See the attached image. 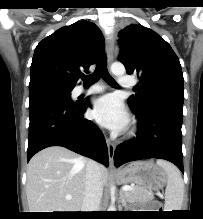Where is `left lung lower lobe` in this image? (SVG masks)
Listing matches in <instances>:
<instances>
[{
	"instance_id": "left-lung-lower-lobe-1",
	"label": "left lung lower lobe",
	"mask_w": 203,
	"mask_h": 219,
	"mask_svg": "<svg viewBox=\"0 0 203 219\" xmlns=\"http://www.w3.org/2000/svg\"><path fill=\"white\" fill-rule=\"evenodd\" d=\"M133 111L139 120L137 137L116 148L115 166L158 158L172 162L184 173L181 132L183 105L155 104L143 112Z\"/></svg>"
}]
</instances>
